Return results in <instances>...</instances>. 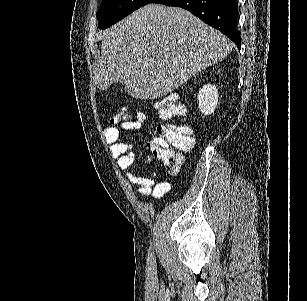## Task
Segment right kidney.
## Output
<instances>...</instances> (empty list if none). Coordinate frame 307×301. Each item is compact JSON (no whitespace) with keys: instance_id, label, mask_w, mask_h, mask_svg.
<instances>
[{"instance_id":"1","label":"right kidney","mask_w":307,"mask_h":301,"mask_svg":"<svg viewBox=\"0 0 307 301\" xmlns=\"http://www.w3.org/2000/svg\"><path fill=\"white\" fill-rule=\"evenodd\" d=\"M198 96V108L201 114H213L218 104V88L216 84H203L202 88H199Z\"/></svg>"}]
</instances>
